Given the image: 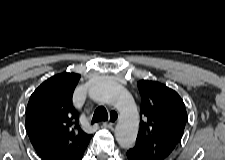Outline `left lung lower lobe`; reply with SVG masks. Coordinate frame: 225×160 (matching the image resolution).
<instances>
[{"label": "left lung lower lobe", "mask_w": 225, "mask_h": 160, "mask_svg": "<svg viewBox=\"0 0 225 160\" xmlns=\"http://www.w3.org/2000/svg\"><path fill=\"white\" fill-rule=\"evenodd\" d=\"M126 159L127 160H152L151 158L139 153L138 151L132 149H129L126 152Z\"/></svg>", "instance_id": "obj_1"}]
</instances>
